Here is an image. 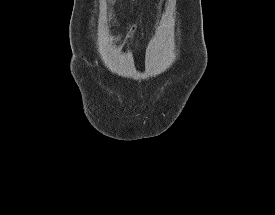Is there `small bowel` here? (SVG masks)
I'll list each match as a JSON object with an SVG mask.
<instances>
[{
    "label": "small bowel",
    "mask_w": 275,
    "mask_h": 215,
    "mask_svg": "<svg viewBox=\"0 0 275 215\" xmlns=\"http://www.w3.org/2000/svg\"><path fill=\"white\" fill-rule=\"evenodd\" d=\"M137 36V25L135 23L131 24L128 27V30L119 36L120 39H127V38H133ZM111 40H114V38H111ZM126 52H133V49L131 47H125L123 49Z\"/></svg>",
    "instance_id": "c3829d8e"
}]
</instances>
